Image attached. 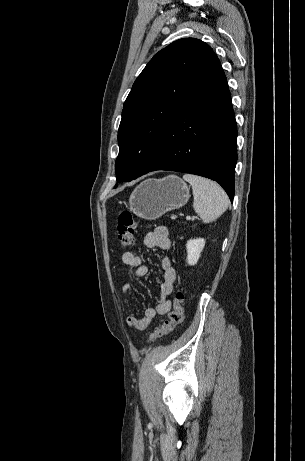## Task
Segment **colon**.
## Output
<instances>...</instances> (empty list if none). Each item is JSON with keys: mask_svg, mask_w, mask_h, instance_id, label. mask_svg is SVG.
<instances>
[{"mask_svg": "<svg viewBox=\"0 0 305 461\" xmlns=\"http://www.w3.org/2000/svg\"><path fill=\"white\" fill-rule=\"evenodd\" d=\"M136 222L131 212L123 211L118 217L117 236L122 248L130 247L134 242V233ZM184 296L181 292H177L173 297V308L168 315V319L157 329H155L148 337L147 341L152 342L172 333L175 328L181 325L184 321L183 310Z\"/></svg>", "mask_w": 305, "mask_h": 461, "instance_id": "colon-1", "label": "colon"}]
</instances>
